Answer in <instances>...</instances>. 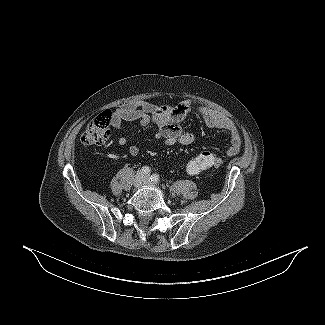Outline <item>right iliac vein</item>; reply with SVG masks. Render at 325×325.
Here are the masks:
<instances>
[{"label":"right iliac vein","instance_id":"63e3f726","mask_svg":"<svg viewBox=\"0 0 325 325\" xmlns=\"http://www.w3.org/2000/svg\"><path fill=\"white\" fill-rule=\"evenodd\" d=\"M144 181H145V176L142 171H139L135 175L133 185H134V187L138 188L144 183Z\"/></svg>","mask_w":325,"mask_h":325}]
</instances>
